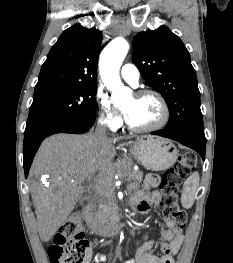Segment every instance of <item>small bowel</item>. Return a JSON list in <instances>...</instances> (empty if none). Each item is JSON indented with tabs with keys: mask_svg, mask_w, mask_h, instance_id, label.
<instances>
[{
	"mask_svg": "<svg viewBox=\"0 0 233 263\" xmlns=\"http://www.w3.org/2000/svg\"><path fill=\"white\" fill-rule=\"evenodd\" d=\"M159 177L150 174L145 178L143 189L140 190L133 199V205L141 213H147L151 205L161 204V194L159 191ZM166 229L162 232V240L152 239L144 243L135 256L123 263H175V256L180 249L184 234L182 228L176 226L171 219H165ZM156 244H159L161 254L156 255L151 252ZM106 257L103 254H96L92 263H105Z\"/></svg>",
	"mask_w": 233,
	"mask_h": 263,
	"instance_id": "c3829d8e",
	"label": "small bowel"
}]
</instances>
